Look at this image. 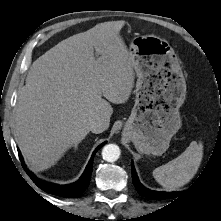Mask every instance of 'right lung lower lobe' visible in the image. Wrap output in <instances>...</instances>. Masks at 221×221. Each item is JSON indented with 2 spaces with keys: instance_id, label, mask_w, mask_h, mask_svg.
<instances>
[{
  "instance_id": "1",
  "label": "right lung lower lobe",
  "mask_w": 221,
  "mask_h": 221,
  "mask_svg": "<svg viewBox=\"0 0 221 221\" xmlns=\"http://www.w3.org/2000/svg\"><path fill=\"white\" fill-rule=\"evenodd\" d=\"M105 143H102L98 148L95 149V151L92 154V157L90 158V161L80 177L78 181H76L73 184L69 185H56V184H51L48 182H44L40 179H38L32 172H30L27 168L26 165L23 162V158L19 152V157L22 163L23 168L27 172V174L30 176V178L33 180V182L42 190L46 191L47 193L54 194L60 197H66V198H74L80 195L85 191V189L88 187L89 182H90V177L91 173L93 170V158L98 151Z\"/></svg>"
}]
</instances>
